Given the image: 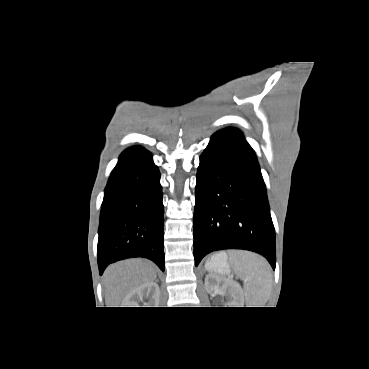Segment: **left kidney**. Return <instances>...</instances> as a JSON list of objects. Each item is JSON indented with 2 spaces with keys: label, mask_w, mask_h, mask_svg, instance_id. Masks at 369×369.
Here are the masks:
<instances>
[{
  "label": "left kidney",
  "mask_w": 369,
  "mask_h": 369,
  "mask_svg": "<svg viewBox=\"0 0 369 369\" xmlns=\"http://www.w3.org/2000/svg\"><path fill=\"white\" fill-rule=\"evenodd\" d=\"M205 288L209 293L220 292L231 298V301L228 303L230 307H243L244 296L236 283L213 274H208L205 277Z\"/></svg>",
  "instance_id": "5707ae66"
}]
</instances>
